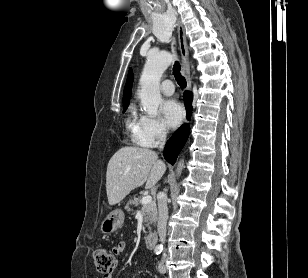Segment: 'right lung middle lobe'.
<instances>
[{
    "mask_svg": "<svg viewBox=\"0 0 308 278\" xmlns=\"http://www.w3.org/2000/svg\"><path fill=\"white\" fill-rule=\"evenodd\" d=\"M128 104H129L128 102H125V101H124V103H123V107H124L123 112H125V110L127 109Z\"/></svg>",
    "mask_w": 308,
    "mask_h": 278,
    "instance_id": "dd1d6c3e",
    "label": "right lung middle lobe"
}]
</instances>
